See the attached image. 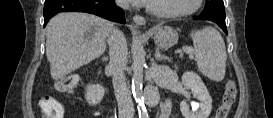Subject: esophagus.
<instances>
[{
    "mask_svg": "<svg viewBox=\"0 0 273 118\" xmlns=\"http://www.w3.org/2000/svg\"><path fill=\"white\" fill-rule=\"evenodd\" d=\"M133 21L140 26H144L146 24V19L143 16L135 15L133 17Z\"/></svg>",
    "mask_w": 273,
    "mask_h": 118,
    "instance_id": "obj_1",
    "label": "esophagus"
}]
</instances>
